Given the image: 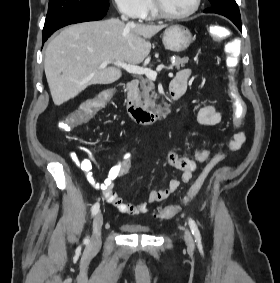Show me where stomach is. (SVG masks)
Wrapping results in <instances>:
<instances>
[{
  "label": "stomach",
  "instance_id": "obj_1",
  "mask_svg": "<svg viewBox=\"0 0 280 283\" xmlns=\"http://www.w3.org/2000/svg\"><path fill=\"white\" fill-rule=\"evenodd\" d=\"M193 38L190 30L182 25H171L163 33L162 42L167 50L182 52L189 47Z\"/></svg>",
  "mask_w": 280,
  "mask_h": 283
}]
</instances>
